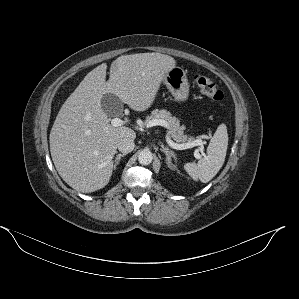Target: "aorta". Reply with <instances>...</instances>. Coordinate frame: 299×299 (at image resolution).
Wrapping results in <instances>:
<instances>
[{
    "instance_id": "1",
    "label": "aorta",
    "mask_w": 299,
    "mask_h": 299,
    "mask_svg": "<svg viewBox=\"0 0 299 299\" xmlns=\"http://www.w3.org/2000/svg\"><path fill=\"white\" fill-rule=\"evenodd\" d=\"M153 160L152 152L149 150H142L138 155V161L142 165H149Z\"/></svg>"
}]
</instances>
